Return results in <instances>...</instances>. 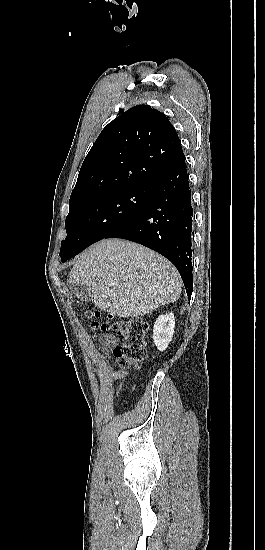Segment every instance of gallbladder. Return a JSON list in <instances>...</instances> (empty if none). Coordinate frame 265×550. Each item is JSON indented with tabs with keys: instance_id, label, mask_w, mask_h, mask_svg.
Segmentation results:
<instances>
[{
	"instance_id": "gallbladder-1",
	"label": "gallbladder",
	"mask_w": 265,
	"mask_h": 550,
	"mask_svg": "<svg viewBox=\"0 0 265 550\" xmlns=\"http://www.w3.org/2000/svg\"><path fill=\"white\" fill-rule=\"evenodd\" d=\"M72 289L75 295L83 301L90 300V290L86 285L82 284H72Z\"/></svg>"
}]
</instances>
